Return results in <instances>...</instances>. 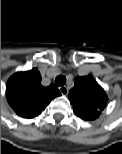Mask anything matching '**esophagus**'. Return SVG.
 <instances>
[{"instance_id": "esophagus-1", "label": "esophagus", "mask_w": 122, "mask_h": 154, "mask_svg": "<svg viewBox=\"0 0 122 154\" xmlns=\"http://www.w3.org/2000/svg\"><path fill=\"white\" fill-rule=\"evenodd\" d=\"M59 90H60L62 95H67L68 94V88L66 86L59 87Z\"/></svg>"}]
</instances>
